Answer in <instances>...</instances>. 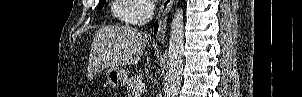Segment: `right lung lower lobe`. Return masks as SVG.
Returning a JSON list of instances; mask_svg holds the SVG:
<instances>
[{
  "mask_svg": "<svg viewBox=\"0 0 302 97\" xmlns=\"http://www.w3.org/2000/svg\"><path fill=\"white\" fill-rule=\"evenodd\" d=\"M157 28H158V24L156 23L154 27L155 32L157 31Z\"/></svg>",
  "mask_w": 302,
  "mask_h": 97,
  "instance_id": "right-lung-lower-lobe-1",
  "label": "right lung lower lobe"
}]
</instances>
